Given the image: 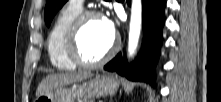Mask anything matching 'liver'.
Masks as SVG:
<instances>
[{
	"label": "liver",
	"mask_w": 221,
	"mask_h": 102,
	"mask_svg": "<svg viewBox=\"0 0 221 102\" xmlns=\"http://www.w3.org/2000/svg\"><path fill=\"white\" fill-rule=\"evenodd\" d=\"M92 76L91 72H69L63 74H52L47 76L38 86L36 95L40 96L49 91L86 80Z\"/></svg>",
	"instance_id": "1"
}]
</instances>
